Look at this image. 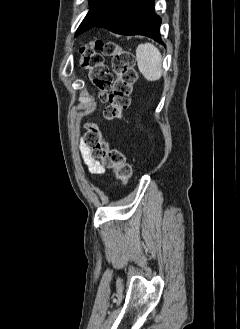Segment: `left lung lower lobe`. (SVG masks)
<instances>
[{"instance_id": "1", "label": "left lung lower lobe", "mask_w": 240, "mask_h": 329, "mask_svg": "<svg viewBox=\"0 0 240 329\" xmlns=\"http://www.w3.org/2000/svg\"><path fill=\"white\" fill-rule=\"evenodd\" d=\"M161 21L154 13V0H121L95 26L122 35L148 36L164 44L159 33Z\"/></svg>"}]
</instances>
